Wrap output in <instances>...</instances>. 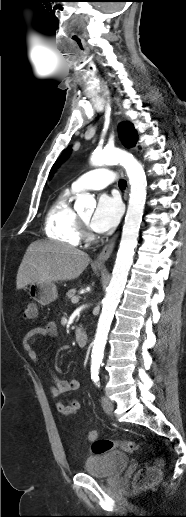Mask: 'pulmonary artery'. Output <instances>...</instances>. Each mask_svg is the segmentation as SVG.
<instances>
[{"label": "pulmonary artery", "instance_id": "1", "mask_svg": "<svg viewBox=\"0 0 186 517\" xmlns=\"http://www.w3.org/2000/svg\"><path fill=\"white\" fill-rule=\"evenodd\" d=\"M115 180L113 172L108 168L89 171L72 183L75 192L84 190H100L112 184Z\"/></svg>", "mask_w": 186, "mask_h": 517}]
</instances>
